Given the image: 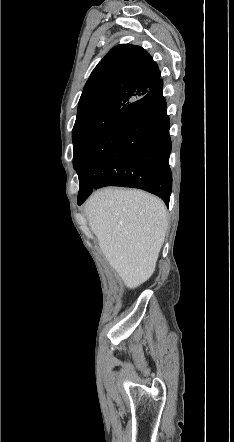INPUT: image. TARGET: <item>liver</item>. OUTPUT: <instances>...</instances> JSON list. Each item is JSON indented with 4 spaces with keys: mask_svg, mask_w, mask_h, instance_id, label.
<instances>
[{
    "mask_svg": "<svg viewBox=\"0 0 234 442\" xmlns=\"http://www.w3.org/2000/svg\"><path fill=\"white\" fill-rule=\"evenodd\" d=\"M85 213L105 258L134 289L153 274L168 229L167 210L140 190L103 188L86 201Z\"/></svg>",
    "mask_w": 234,
    "mask_h": 442,
    "instance_id": "liver-1",
    "label": "liver"
}]
</instances>
